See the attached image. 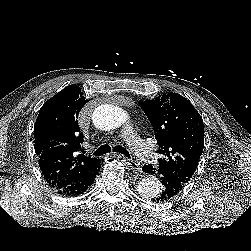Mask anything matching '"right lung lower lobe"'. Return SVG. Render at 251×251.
<instances>
[{"label":"right lung lower lobe","mask_w":251,"mask_h":251,"mask_svg":"<svg viewBox=\"0 0 251 251\" xmlns=\"http://www.w3.org/2000/svg\"><path fill=\"white\" fill-rule=\"evenodd\" d=\"M103 161L101 160L100 164L96 169L90 173L82 176L81 178H75L71 180H65L55 184H49L51 187L59 194L64 196H76L85 192L89 186L92 185Z\"/></svg>","instance_id":"1"}]
</instances>
